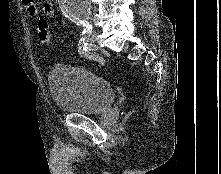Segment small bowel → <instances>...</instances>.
Masks as SVG:
<instances>
[{
  "label": "small bowel",
  "mask_w": 221,
  "mask_h": 174,
  "mask_svg": "<svg viewBox=\"0 0 221 174\" xmlns=\"http://www.w3.org/2000/svg\"><path fill=\"white\" fill-rule=\"evenodd\" d=\"M26 11L29 16L36 17L39 15V8L35 0H23ZM43 11L46 15H53L55 13V6L52 2L46 1L43 5Z\"/></svg>",
  "instance_id": "c3829d8e"
}]
</instances>
